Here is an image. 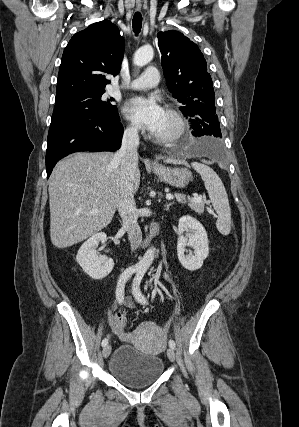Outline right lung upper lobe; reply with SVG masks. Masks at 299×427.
Masks as SVG:
<instances>
[{"label": "right lung upper lobe", "mask_w": 299, "mask_h": 427, "mask_svg": "<svg viewBox=\"0 0 299 427\" xmlns=\"http://www.w3.org/2000/svg\"><path fill=\"white\" fill-rule=\"evenodd\" d=\"M123 52L124 39L110 21L94 23L76 33L62 55L56 101L105 91L110 82L105 75L119 73Z\"/></svg>", "instance_id": "right-lung-upper-lobe-1"}]
</instances>
